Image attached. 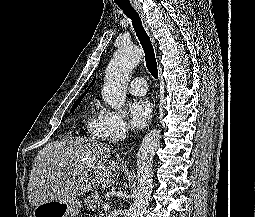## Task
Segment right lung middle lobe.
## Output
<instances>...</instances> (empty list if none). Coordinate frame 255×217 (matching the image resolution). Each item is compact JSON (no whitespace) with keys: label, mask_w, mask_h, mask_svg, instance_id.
<instances>
[{"label":"right lung middle lobe","mask_w":255,"mask_h":217,"mask_svg":"<svg viewBox=\"0 0 255 217\" xmlns=\"http://www.w3.org/2000/svg\"><path fill=\"white\" fill-rule=\"evenodd\" d=\"M84 96H85V94L82 95V96L73 104V106H72V108H71V110H70L71 113H73V112L75 111L76 107L80 104V102L82 101V99H83Z\"/></svg>","instance_id":"obj_1"}]
</instances>
